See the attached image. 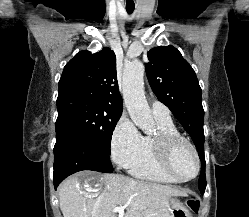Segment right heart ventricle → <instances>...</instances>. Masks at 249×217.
<instances>
[{"label": "right heart ventricle", "mask_w": 249, "mask_h": 217, "mask_svg": "<svg viewBox=\"0 0 249 217\" xmlns=\"http://www.w3.org/2000/svg\"><path fill=\"white\" fill-rule=\"evenodd\" d=\"M158 133L179 134L172 119L162 120L155 118ZM155 136L142 137L141 148L129 166V172L140 179L149 180L158 183L173 184L179 181L168 175L163 169L157 150L154 145Z\"/></svg>", "instance_id": "obj_1"}]
</instances>
